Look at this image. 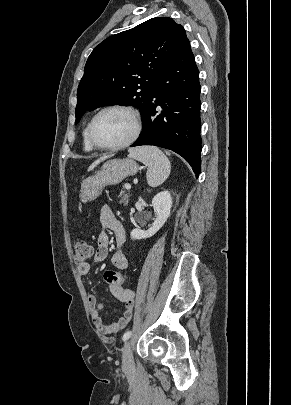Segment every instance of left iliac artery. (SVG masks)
<instances>
[{"mask_svg":"<svg viewBox=\"0 0 291 405\" xmlns=\"http://www.w3.org/2000/svg\"><path fill=\"white\" fill-rule=\"evenodd\" d=\"M131 335H132V332H131V331H126V332L124 333L123 337H122L123 341L128 340V339L131 337Z\"/></svg>","mask_w":291,"mask_h":405,"instance_id":"44dca946","label":"left iliac artery"}]
</instances>
